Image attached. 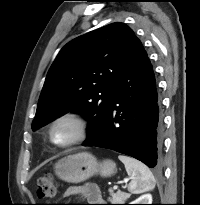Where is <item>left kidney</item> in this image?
Returning <instances> with one entry per match:
<instances>
[{
    "instance_id": "obj_1",
    "label": "left kidney",
    "mask_w": 200,
    "mask_h": 205,
    "mask_svg": "<svg viewBox=\"0 0 200 205\" xmlns=\"http://www.w3.org/2000/svg\"><path fill=\"white\" fill-rule=\"evenodd\" d=\"M130 204H152V195L151 194H144L131 202Z\"/></svg>"
}]
</instances>
